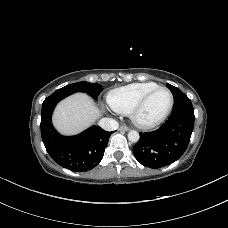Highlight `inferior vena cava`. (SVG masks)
Masks as SVG:
<instances>
[{
  "instance_id": "1",
  "label": "inferior vena cava",
  "mask_w": 228,
  "mask_h": 228,
  "mask_svg": "<svg viewBox=\"0 0 228 228\" xmlns=\"http://www.w3.org/2000/svg\"><path fill=\"white\" fill-rule=\"evenodd\" d=\"M98 125L106 131H114L119 126L118 122L112 118H103L99 121Z\"/></svg>"
}]
</instances>
